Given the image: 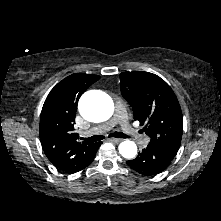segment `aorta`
<instances>
[{"label": "aorta", "instance_id": "obj_1", "mask_svg": "<svg viewBox=\"0 0 221 221\" xmlns=\"http://www.w3.org/2000/svg\"><path fill=\"white\" fill-rule=\"evenodd\" d=\"M79 112L88 121H105L113 113V102L103 93L87 92L79 101ZM119 152L124 158L132 159L137 154V146L133 141L125 140L119 144Z\"/></svg>", "mask_w": 221, "mask_h": 221}]
</instances>
